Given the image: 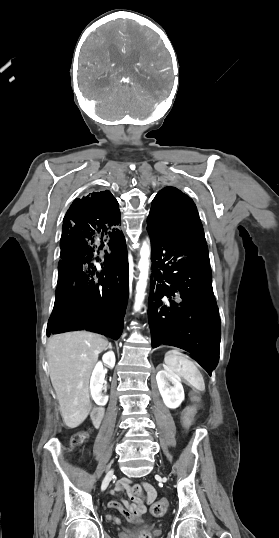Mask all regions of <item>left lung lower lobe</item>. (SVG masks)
I'll list each match as a JSON object with an SVG mask.
<instances>
[{
  "label": "left lung lower lobe",
  "instance_id": "1",
  "mask_svg": "<svg viewBox=\"0 0 279 538\" xmlns=\"http://www.w3.org/2000/svg\"><path fill=\"white\" fill-rule=\"evenodd\" d=\"M148 233L153 269L148 307L152 347L184 349L211 375L219 361L221 330L207 245Z\"/></svg>",
  "mask_w": 279,
  "mask_h": 538
}]
</instances>
